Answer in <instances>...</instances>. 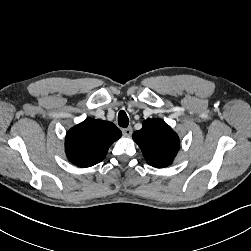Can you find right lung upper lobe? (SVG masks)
<instances>
[{
    "mask_svg": "<svg viewBox=\"0 0 251 251\" xmlns=\"http://www.w3.org/2000/svg\"><path fill=\"white\" fill-rule=\"evenodd\" d=\"M121 135L120 129L112 122L87 118L67 132V158L78 167L93 166L105 158L111 144Z\"/></svg>",
    "mask_w": 251,
    "mask_h": 251,
    "instance_id": "obj_1",
    "label": "right lung upper lobe"
}]
</instances>
